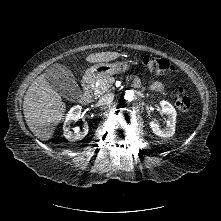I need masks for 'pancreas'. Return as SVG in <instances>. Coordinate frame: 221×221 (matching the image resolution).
I'll use <instances>...</instances> for the list:
<instances>
[{"instance_id": "obj_1", "label": "pancreas", "mask_w": 221, "mask_h": 221, "mask_svg": "<svg viewBox=\"0 0 221 221\" xmlns=\"http://www.w3.org/2000/svg\"><path fill=\"white\" fill-rule=\"evenodd\" d=\"M115 79L110 76L102 77L97 80L98 85L92 87L93 95L95 97H99L100 95L104 94L112 90V84L114 83Z\"/></svg>"}]
</instances>
